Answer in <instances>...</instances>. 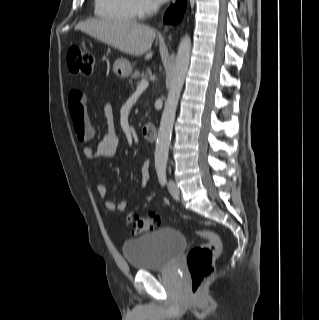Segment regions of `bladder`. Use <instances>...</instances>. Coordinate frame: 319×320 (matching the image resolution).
Returning <instances> with one entry per match:
<instances>
[{"label": "bladder", "instance_id": "obj_1", "mask_svg": "<svg viewBox=\"0 0 319 320\" xmlns=\"http://www.w3.org/2000/svg\"><path fill=\"white\" fill-rule=\"evenodd\" d=\"M188 247L187 237L173 228H158L123 243L124 256L136 271L170 268Z\"/></svg>", "mask_w": 319, "mask_h": 320}]
</instances>
